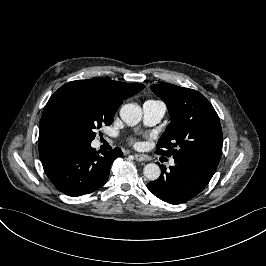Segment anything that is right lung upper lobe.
Returning <instances> with one entry per match:
<instances>
[{"instance_id": "1", "label": "right lung upper lobe", "mask_w": 266, "mask_h": 266, "mask_svg": "<svg viewBox=\"0 0 266 266\" xmlns=\"http://www.w3.org/2000/svg\"><path fill=\"white\" fill-rule=\"evenodd\" d=\"M77 84L92 85L100 88L104 92L109 103L118 108L120 107L124 99H127L137 94L145 87L143 84L140 83H123L103 78L76 80L63 85L49 99L40 120L39 153L42 161H44L48 157V155L58 146L64 144L60 133L52 119L50 107L51 102L59 91L68 86Z\"/></svg>"}]
</instances>
